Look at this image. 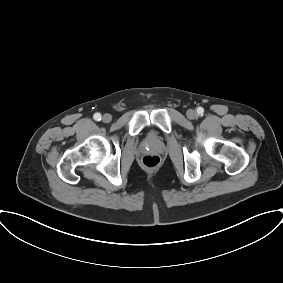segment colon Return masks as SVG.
<instances>
[{
    "label": "colon",
    "instance_id": "obj_1",
    "mask_svg": "<svg viewBox=\"0 0 283 283\" xmlns=\"http://www.w3.org/2000/svg\"><path fill=\"white\" fill-rule=\"evenodd\" d=\"M142 163L145 167L153 169L160 164V158L157 155L148 154L143 157Z\"/></svg>",
    "mask_w": 283,
    "mask_h": 283
}]
</instances>
